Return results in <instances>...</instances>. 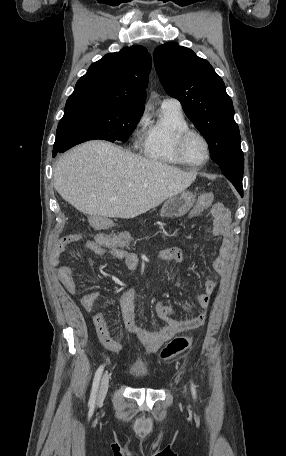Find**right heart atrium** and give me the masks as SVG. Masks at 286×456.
<instances>
[{
	"mask_svg": "<svg viewBox=\"0 0 286 456\" xmlns=\"http://www.w3.org/2000/svg\"><path fill=\"white\" fill-rule=\"evenodd\" d=\"M144 122H145V116H142L137 123V127H141L144 124Z\"/></svg>",
	"mask_w": 286,
	"mask_h": 456,
	"instance_id": "1",
	"label": "right heart atrium"
}]
</instances>
